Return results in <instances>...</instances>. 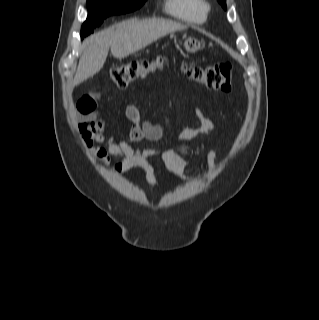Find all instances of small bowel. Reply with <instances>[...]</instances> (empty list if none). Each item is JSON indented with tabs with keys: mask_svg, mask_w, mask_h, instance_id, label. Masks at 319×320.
Segmentation results:
<instances>
[{
	"mask_svg": "<svg viewBox=\"0 0 319 320\" xmlns=\"http://www.w3.org/2000/svg\"><path fill=\"white\" fill-rule=\"evenodd\" d=\"M78 111L80 114L78 128L81 133L82 142L86 147L92 149L94 157L101 164H108L113 156L120 157L121 167L125 171L141 168L144 172L146 184L150 188L156 189L159 186V182L154 168L150 164V159L156 157L165 163L175 180L185 181L187 179L184 174L187 162L177 149L169 146L162 148L134 147L128 139L106 137L103 134L106 121L99 117L96 101L92 95L83 96L79 100ZM194 114L198 120V125L186 127L180 132L179 138L182 142L210 135L216 131L215 123L205 115L200 107H195ZM125 116L131 122L130 132L136 134L139 139L143 137L145 129L156 131L158 137L163 133L162 127L143 120L134 105L127 106ZM94 142L106 143V146L93 147ZM216 161L217 152L210 151L206 156V162L210 171H215Z\"/></svg>",
	"mask_w": 319,
	"mask_h": 320,
	"instance_id": "c3829d8e",
	"label": "small bowel"
}]
</instances>
